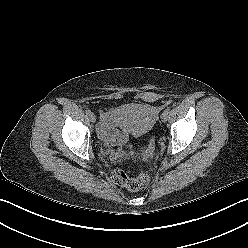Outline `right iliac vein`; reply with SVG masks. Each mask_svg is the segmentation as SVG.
Here are the masks:
<instances>
[{
    "mask_svg": "<svg viewBox=\"0 0 248 248\" xmlns=\"http://www.w3.org/2000/svg\"><path fill=\"white\" fill-rule=\"evenodd\" d=\"M89 118H90L91 122H93V123L96 122V116H95V114L91 113L89 115Z\"/></svg>",
    "mask_w": 248,
    "mask_h": 248,
    "instance_id": "right-iliac-vein-1",
    "label": "right iliac vein"
}]
</instances>
